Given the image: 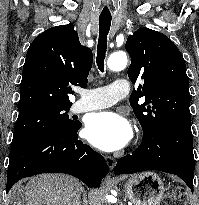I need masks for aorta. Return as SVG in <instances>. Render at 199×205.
I'll return each mask as SVG.
<instances>
[{
    "label": "aorta",
    "instance_id": "1",
    "mask_svg": "<svg viewBox=\"0 0 199 205\" xmlns=\"http://www.w3.org/2000/svg\"><path fill=\"white\" fill-rule=\"evenodd\" d=\"M128 59L125 52L119 51L115 52L108 58L107 66L112 71H121L127 65ZM109 197L107 196V199Z\"/></svg>",
    "mask_w": 199,
    "mask_h": 205
}]
</instances>
